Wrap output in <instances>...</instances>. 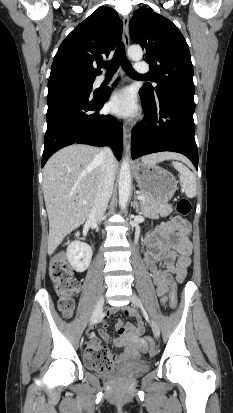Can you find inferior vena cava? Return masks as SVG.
I'll return each mask as SVG.
<instances>
[{
    "label": "inferior vena cava",
    "instance_id": "602c4592",
    "mask_svg": "<svg viewBox=\"0 0 233 413\" xmlns=\"http://www.w3.org/2000/svg\"><path fill=\"white\" fill-rule=\"evenodd\" d=\"M102 158L101 175L98 191L91 213L100 220L107 209L111 198L115 179V157L110 148H103L100 151Z\"/></svg>",
    "mask_w": 233,
    "mask_h": 413
}]
</instances>
